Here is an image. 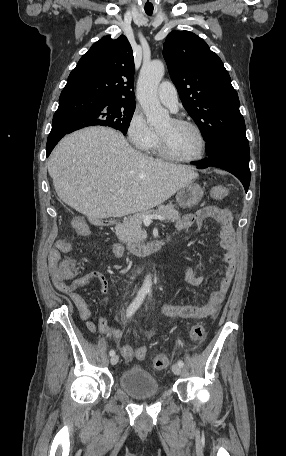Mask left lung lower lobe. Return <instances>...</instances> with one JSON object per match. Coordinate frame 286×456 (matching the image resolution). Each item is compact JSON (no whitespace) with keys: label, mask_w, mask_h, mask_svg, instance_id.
I'll list each match as a JSON object with an SVG mask.
<instances>
[{"label":"left lung lower lobe","mask_w":286,"mask_h":456,"mask_svg":"<svg viewBox=\"0 0 286 456\" xmlns=\"http://www.w3.org/2000/svg\"><path fill=\"white\" fill-rule=\"evenodd\" d=\"M209 159L203 162H195L199 169L209 166L222 168L235 175L243 184L247 192L250 185L249 169V143L248 142H225L214 146L206 152Z\"/></svg>","instance_id":"0a47b994"}]
</instances>
